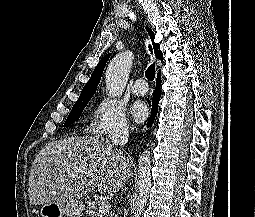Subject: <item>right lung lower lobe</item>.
I'll return each instance as SVG.
<instances>
[{
  "mask_svg": "<svg viewBox=\"0 0 255 217\" xmlns=\"http://www.w3.org/2000/svg\"><path fill=\"white\" fill-rule=\"evenodd\" d=\"M161 73L159 72L156 79L155 93L152 99V113L147 126H151L158 110V101L160 100Z\"/></svg>",
  "mask_w": 255,
  "mask_h": 217,
  "instance_id": "98d812e1",
  "label": "right lung lower lobe"
}]
</instances>
